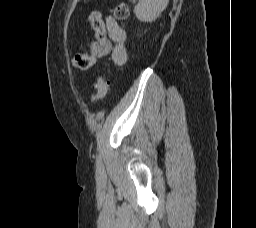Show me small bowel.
<instances>
[{"instance_id":"small-bowel-1","label":"small bowel","mask_w":256,"mask_h":228,"mask_svg":"<svg viewBox=\"0 0 256 228\" xmlns=\"http://www.w3.org/2000/svg\"><path fill=\"white\" fill-rule=\"evenodd\" d=\"M125 42V30L113 17L108 16L106 18V39L100 43H94L93 50L99 57L110 55L112 61L116 65L121 66L127 60Z\"/></svg>"}]
</instances>
